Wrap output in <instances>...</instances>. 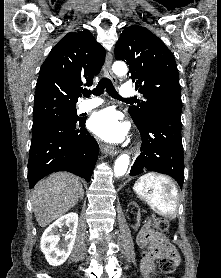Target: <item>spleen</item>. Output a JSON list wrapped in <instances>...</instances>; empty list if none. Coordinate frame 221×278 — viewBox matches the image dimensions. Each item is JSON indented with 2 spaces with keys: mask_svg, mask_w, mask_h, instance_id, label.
<instances>
[{
  "mask_svg": "<svg viewBox=\"0 0 221 278\" xmlns=\"http://www.w3.org/2000/svg\"><path fill=\"white\" fill-rule=\"evenodd\" d=\"M133 189L159 215L168 219L176 217L178 190L168 177L146 173L136 181Z\"/></svg>",
  "mask_w": 221,
  "mask_h": 278,
  "instance_id": "obj_1",
  "label": "spleen"
}]
</instances>
